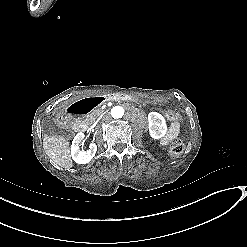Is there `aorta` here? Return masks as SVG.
<instances>
[{"label":"aorta","instance_id":"obj_1","mask_svg":"<svg viewBox=\"0 0 247 247\" xmlns=\"http://www.w3.org/2000/svg\"><path fill=\"white\" fill-rule=\"evenodd\" d=\"M111 115L114 119L122 118L124 115V108L121 106H114L111 109Z\"/></svg>","mask_w":247,"mask_h":247}]
</instances>
